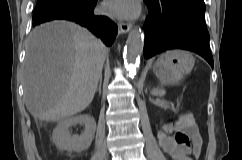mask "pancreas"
<instances>
[{"instance_id":"obj_1","label":"pancreas","mask_w":242,"mask_h":160,"mask_svg":"<svg viewBox=\"0 0 242 160\" xmlns=\"http://www.w3.org/2000/svg\"><path fill=\"white\" fill-rule=\"evenodd\" d=\"M153 93H154V94H157V93H159V92H158V91H156V90H153Z\"/></svg>"}]
</instances>
